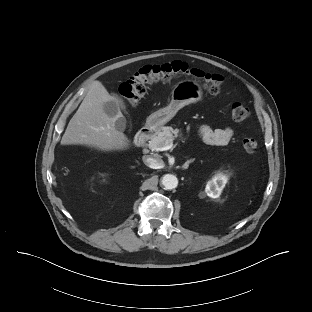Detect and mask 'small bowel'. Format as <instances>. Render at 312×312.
Masks as SVG:
<instances>
[{"instance_id":"c3829d8e","label":"small bowel","mask_w":312,"mask_h":312,"mask_svg":"<svg viewBox=\"0 0 312 312\" xmlns=\"http://www.w3.org/2000/svg\"><path fill=\"white\" fill-rule=\"evenodd\" d=\"M198 132L202 140L210 145L224 146L233 137L234 131L231 127L211 129L207 125H200Z\"/></svg>"}]
</instances>
